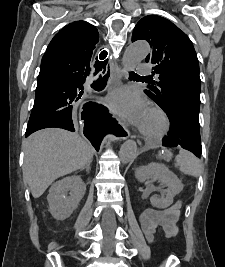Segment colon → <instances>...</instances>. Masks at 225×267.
<instances>
[{"instance_id": "5ec220e1", "label": "colon", "mask_w": 225, "mask_h": 267, "mask_svg": "<svg viewBox=\"0 0 225 267\" xmlns=\"http://www.w3.org/2000/svg\"><path fill=\"white\" fill-rule=\"evenodd\" d=\"M180 206H181V202H180V204H179V208H180Z\"/></svg>"}]
</instances>
